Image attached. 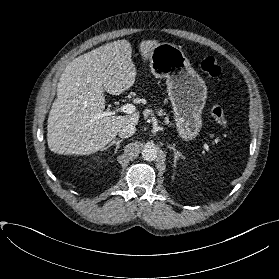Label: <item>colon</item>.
<instances>
[{"label":"colon","mask_w":279,"mask_h":279,"mask_svg":"<svg viewBox=\"0 0 279 279\" xmlns=\"http://www.w3.org/2000/svg\"><path fill=\"white\" fill-rule=\"evenodd\" d=\"M200 68L203 73L211 77H218L221 74V67L213 56H206L201 62ZM212 115L219 125L227 127L228 121L224 109L220 104L213 105Z\"/></svg>","instance_id":"5ec220e1"}]
</instances>
